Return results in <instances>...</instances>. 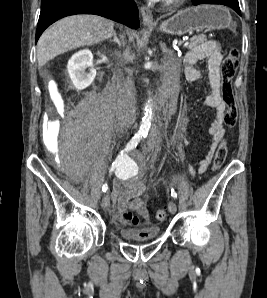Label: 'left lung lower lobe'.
Returning <instances> with one entry per match:
<instances>
[{"label":"left lung lower lobe","instance_id":"0a47b994","mask_svg":"<svg viewBox=\"0 0 267 298\" xmlns=\"http://www.w3.org/2000/svg\"><path fill=\"white\" fill-rule=\"evenodd\" d=\"M193 5H199V4H222L231 7L233 10H235L240 16V8L238 0H192Z\"/></svg>","mask_w":267,"mask_h":298}]
</instances>
